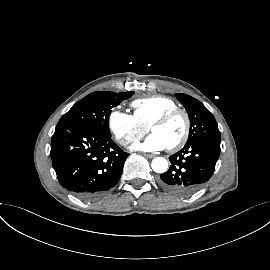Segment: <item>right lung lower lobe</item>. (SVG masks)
I'll use <instances>...</instances> for the list:
<instances>
[{
    "label": "right lung lower lobe",
    "mask_w": 270,
    "mask_h": 270,
    "mask_svg": "<svg viewBox=\"0 0 270 270\" xmlns=\"http://www.w3.org/2000/svg\"><path fill=\"white\" fill-rule=\"evenodd\" d=\"M50 155L62 187L93 199L118 183L129 154L111 136L84 126H65L56 127Z\"/></svg>",
    "instance_id": "1"
}]
</instances>
